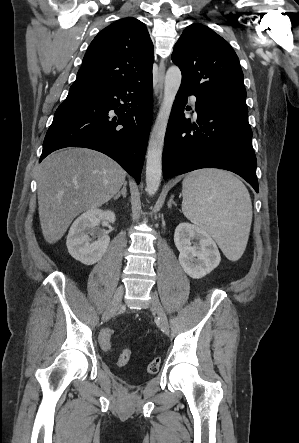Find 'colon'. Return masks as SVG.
<instances>
[{
  "mask_svg": "<svg viewBox=\"0 0 299 443\" xmlns=\"http://www.w3.org/2000/svg\"><path fill=\"white\" fill-rule=\"evenodd\" d=\"M114 336V331L112 329H105L101 332L99 336V340L101 345L105 349H109L111 345V340ZM131 358V351L129 349H124L121 351L119 358H118V364L119 365H125L130 361ZM161 360L160 358L156 357L153 358L147 366V371L149 373H156L160 369Z\"/></svg>",
  "mask_w": 299,
  "mask_h": 443,
  "instance_id": "obj_1",
  "label": "colon"
}]
</instances>
